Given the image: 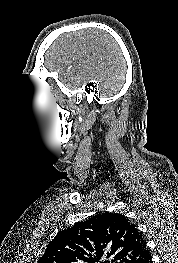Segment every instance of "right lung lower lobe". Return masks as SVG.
<instances>
[{"label": "right lung lower lobe", "instance_id": "right-lung-lower-lobe-1", "mask_svg": "<svg viewBox=\"0 0 178 263\" xmlns=\"http://www.w3.org/2000/svg\"><path fill=\"white\" fill-rule=\"evenodd\" d=\"M141 263H152L151 255L149 254Z\"/></svg>", "mask_w": 178, "mask_h": 263}]
</instances>
